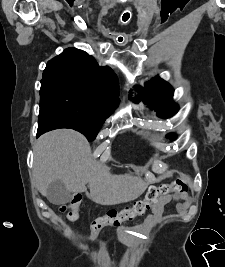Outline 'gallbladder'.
<instances>
[{"mask_svg":"<svg viewBox=\"0 0 225 267\" xmlns=\"http://www.w3.org/2000/svg\"><path fill=\"white\" fill-rule=\"evenodd\" d=\"M47 198L52 204H65L70 200V193L64 183L56 179L51 182L47 188Z\"/></svg>","mask_w":225,"mask_h":267,"instance_id":"gallbladder-1","label":"gallbladder"}]
</instances>
